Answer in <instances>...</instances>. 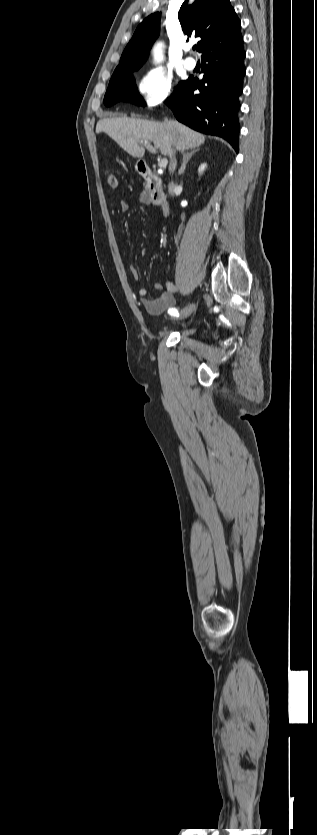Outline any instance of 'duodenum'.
<instances>
[{
    "instance_id": "obj_1",
    "label": "duodenum",
    "mask_w": 317,
    "mask_h": 835,
    "mask_svg": "<svg viewBox=\"0 0 317 835\" xmlns=\"http://www.w3.org/2000/svg\"><path fill=\"white\" fill-rule=\"evenodd\" d=\"M138 172L148 183L152 203L158 206L165 204L167 197L164 192L162 179L143 161L138 163Z\"/></svg>"
}]
</instances>
